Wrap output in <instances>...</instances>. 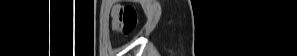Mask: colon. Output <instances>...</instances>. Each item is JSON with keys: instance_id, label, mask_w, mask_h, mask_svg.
<instances>
[{"instance_id": "5ec220e1", "label": "colon", "mask_w": 297, "mask_h": 56, "mask_svg": "<svg viewBox=\"0 0 297 56\" xmlns=\"http://www.w3.org/2000/svg\"><path fill=\"white\" fill-rule=\"evenodd\" d=\"M138 20L137 12L131 5H125L117 10V30L125 35L133 32Z\"/></svg>"}]
</instances>
